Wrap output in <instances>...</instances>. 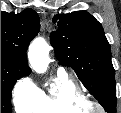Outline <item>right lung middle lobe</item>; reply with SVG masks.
Instances as JSON below:
<instances>
[{
	"instance_id": "dd1d6c3e",
	"label": "right lung middle lobe",
	"mask_w": 121,
	"mask_h": 113,
	"mask_svg": "<svg viewBox=\"0 0 121 113\" xmlns=\"http://www.w3.org/2000/svg\"><path fill=\"white\" fill-rule=\"evenodd\" d=\"M28 75L18 65L1 59V113H11V91L17 79Z\"/></svg>"
}]
</instances>
